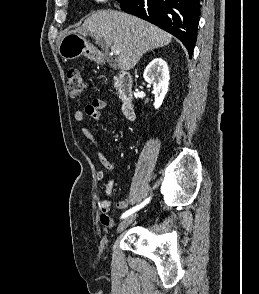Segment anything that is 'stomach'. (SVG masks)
<instances>
[{
  "mask_svg": "<svg viewBox=\"0 0 259 294\" xmlns=\"http://www.w3.org/2000/svg\"><path fill=\"white\" fill-rule=\"evenodd\" d=\"M58 52L65 59H75L81 55L93 59L95 56L93 47L76 31H69L62 37Z\"/></svg>",
  "mask_w": 259,
  "mask_h": 294,
  "instance_id": "0dacf381",
  "label": "stomach"
}]
</instances>
